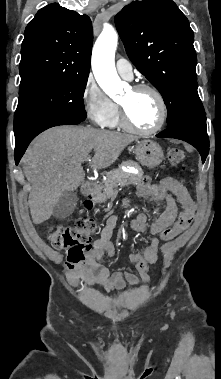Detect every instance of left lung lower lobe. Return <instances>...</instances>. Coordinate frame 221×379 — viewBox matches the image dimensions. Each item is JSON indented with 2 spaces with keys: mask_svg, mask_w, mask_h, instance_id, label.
Listing matches in <instances>:
<instances>
[{
  "mask_svg": "<svg viewBox=\"0 0 221 379\" xmlns=\"http://www.w3.org/2000/svg\"><path fill=\"white\" fill-rule=\"evenodd\" d=\"M160 138H176L193 145L201 154L204 163L209 153V139L207 130H201L187 125H178L165 129L156 135Z\"/></svg>",
  "mask_w": 221,
  "mask_h": 379,
  "instance_id": "obj_1",
  "label": "left lung lower lobe"
}]
</instances>
